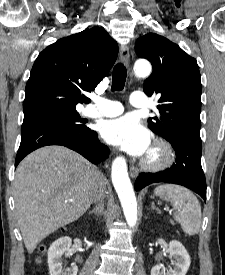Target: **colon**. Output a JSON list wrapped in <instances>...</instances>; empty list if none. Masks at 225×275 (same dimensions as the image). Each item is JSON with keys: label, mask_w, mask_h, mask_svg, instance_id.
Segmentation results:
<instances>
[{"label": "colon", "mask_w": 225, "mask_h": 275, "mask_svg": "<svg viewBox=\"0 0 225 275\" xmlns=\"http://www.w3.org/2000/svg\"><path fill=\"white\" fill-rule=\"evenodd\" d=\"M40 251H44V246H41V247H40Z\"/></svg>", "instance_id": "1"}]
</instances>
